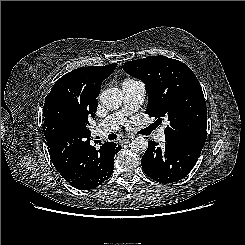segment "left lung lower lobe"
Returning a JSON list of instances; mask_svg holds the SVG:
<instances>
[{
	"label": "left lung lower lobe",
	"mask_w": 245,
	"mask_h": 245,
	"mask_svg": "<svg viewBox=\"0 0 245 245\" xmlns=\"http://www.w3.org/2000/svg\"><path fill=\"white\" fill-rule=\"evenodd\" d=\"M205 142L186 140L172 142L166 139L165 148L154 141L142 157L144 172L160 183H172L186 177L195 166Z\"/></svg>",
	"instance_id": "1"
}]
</instances>
